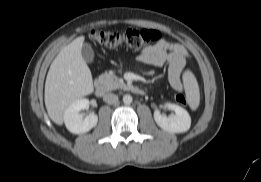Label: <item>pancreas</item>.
<instances>
[{
  "mask_svg": "<svg viewBox=\"0 0 261 182\" xmlns=\"http://www.w3.org/2000/svg\"><path fill=\"white\" fill-rule=\"evenodd\" d=\"M100 83L106 88V90H116V89H127L126 84L123 79L118 78L113 73H104L99 77Z\"/></svg>",
  "mask_w": 261,
  "mask_h": 182,
  "instance_id": "obj_1",
  "label": "pancreas"
}]
</instances>
